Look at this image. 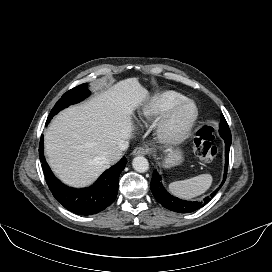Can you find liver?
I'll return each instance as SVG.
<instances>
[{
	"label": "liver",
	"mask_w": 272,
	"mask_h": 272,
	"mask_svg": "<svg viewBox=\"0 0 272 272\" xmlns=\"http://www.w3.org/2000/svg\"><path fill=\"white\" fill-rule=\"evenodd\" d=\"M147 98L138 79L128 78L60 112L44 136L55 175L71 186L90 185L110 166L103 161V153L131 138L133 111Z\"/></svg>",
	"instance_id": "liver-1"
}]
</instances>
